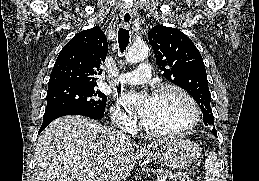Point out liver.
<instances>
[{"label": "liver", "instance_id": "liver-1", "mask_svg": "<svg viewBox=\"0 0 259 181\" xmlns=\"http://www.w3.org/2000/svg\"><path fill=\"white\" fill-rule=\"evenodd\" d=\"M134 146L118 130L90 118H58L38 137L34 181H109L114 173L125 180L138 158Z\"/></svg>", "mask_w": 259, "mask_h": 181}]
</instances>
